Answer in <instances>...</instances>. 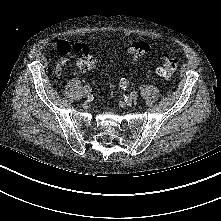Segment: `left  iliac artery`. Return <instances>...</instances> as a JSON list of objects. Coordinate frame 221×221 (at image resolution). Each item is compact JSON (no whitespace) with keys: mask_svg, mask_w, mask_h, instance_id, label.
<instances>
[{"mask_svg":"<svg viewBox=\"0 0 221 221\" xmlns=\"http://www.w3.org/2000/svg\"><path fill=\"white\" fill-rule=\"evenodd\" d=\"M120 87L122 90L126 91L128 87V81L125 78H122L120 81Z\"/></svg>","mask_w":221,"mask_h":221,"instance_id":"1","label":"left iliac artery"}]
</instances>
